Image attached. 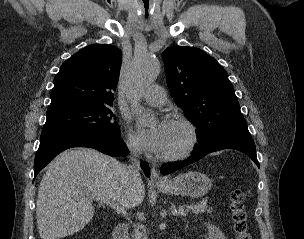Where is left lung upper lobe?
I'll list each match as a JSON object with an SVG mask.
<instances>
[{
	"label": "left lung upper lobe",
	"instance_id": "obj_1",
	"mask_svg": "<svg viewBox=\"0 0 304 239\" xmlns=\"http://www.w3.org/2000/svg\"><path fill=\"white\" fill-rule=\"evenodd\" d=\"M162 56L171 95L197 126L200 146L251 137L228 74L213 57L181 46L167 48Z\"/></svg>",
	"mask_w": 304,
	"mask_h": 239
}]
</instances>
